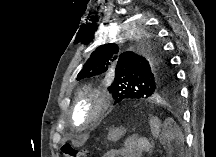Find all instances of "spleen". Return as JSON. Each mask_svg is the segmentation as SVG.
Returning <instances> with one entry per match:
<instances>
[{
    "instance_id": "obj_1",
    "label": "spleen",
    "mask_w": 216,
    "mask_h": 157,
    "mask_svg": "<svg viewBox=\"0 0 216 157\" xmlns=\"http://www.w3.org/2000/svg\"><path fill=\"white\" fill-rule=\"evenodd\" d=\"M160 141L169 152L175 148L183 149L184 136L181 129L174 123L172 118L166 119L160 136Z\"/></svg>"
}]
</instances>
